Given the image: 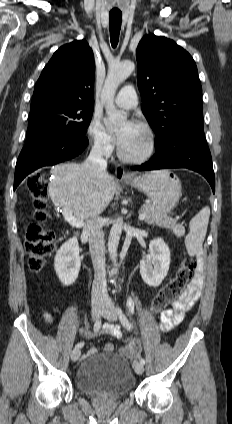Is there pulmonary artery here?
<instances>
[{
	"label": "pulmonary artery",
	"mask_w": 232,
	"mask_h": 424,
	"mask_svg": "<svg viewBox=\"0 0 232 424\" xmlns=\"http://www.w3.org/2000/svg\"><path fill=\"white\" fill-rule=\"evenodd\" d=\"M114 101L119 107L131 109L137 106L138 95L133 86L127 85L119 91Z\"/></svg>",
	"instance_id": "1"
}]
</instances>
